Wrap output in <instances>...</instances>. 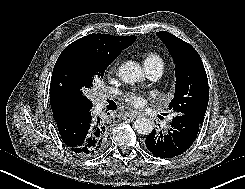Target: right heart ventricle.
<instances>
[{
	"mask_svg": "<svg viewBox=\"0 0 245 189\" xmlns=\"http://www.w3.org/2000/svg\"><path fill=\"white\" fill-rule=\"evenodd\" d=\"M143 63L145 67L148 66H162L164 67V61L162 57L153 51H149L143 54Z\"/></svg>",
	"mask_w": 245,
	"mask_h": 189,
	"instance_id": "1",
	"label": "right heart ventricle"
}]
</instances>
